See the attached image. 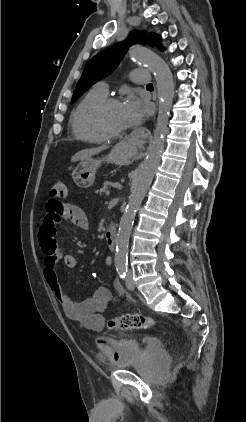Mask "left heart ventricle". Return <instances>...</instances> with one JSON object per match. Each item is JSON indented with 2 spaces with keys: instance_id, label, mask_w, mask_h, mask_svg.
Segmentation results:
<instances>
[{
  "instance_id": "b2bd125f",
  "label": "left heart ventricle",
  "mask_w": 246,
  "mask_h": 422,
  "mask_svg": "<svg viewBox=\"0 0 246 422\" xmlns=\"http://www.w3.org/2000/svg\"><path fill=\"white\" fill-rule=\"evenodd\" d=\"M105 120L109 128L115 131L125 129L122 118L121 104L110 106L105 113Z\"/></svg>"
}]
</instances>
